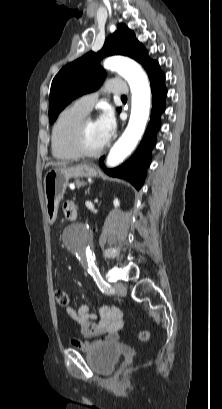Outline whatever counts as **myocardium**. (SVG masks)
Segmentation results:
<instances>
[{"label": "myocardium", "instance_id": "1", "mask_svg": "<svg viewBox=\"0 0 222 409\" xmlns=\"http://www.w3.org/2000/svg\"><path fill=\"white\" fill-rule=\"evenodd\" d=\"M92 120L90 117L85 116L83 117L77 124L71 138V144L74 149V151L78 154L80 157H88V158H93L97 157L102 154V152L105 149V146H102L98 150L95 151H90L88 150L85 145H84V132H85V127L88 121Z\"/></svg>", "mask_w": 222, "mask_h": 409}]
</instances>
